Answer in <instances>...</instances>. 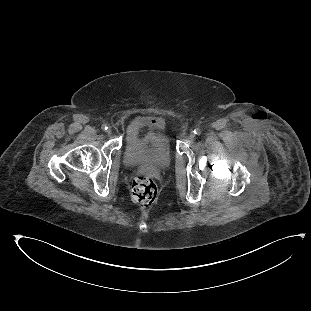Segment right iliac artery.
I'll return each instance as SVG.
<instances>
[{
    "label": "right iliac artery",
    "mask_w": 311,
    "mask_h": 311,
    "mask_svg": "<svg viewBox=\"0 0 311 311\" xmlns=\"http://www.w3.org/2000/svg\"><path fill=\"white\" fill-rule=\"evenodd\" d=\"M101 128H102V130H104V131H105V130H107V128H108V127H107V125H106V124H104V125H102V127H101Z\"/></svg>",
    "instance_id": "82829eb1"
}]
</instances>
